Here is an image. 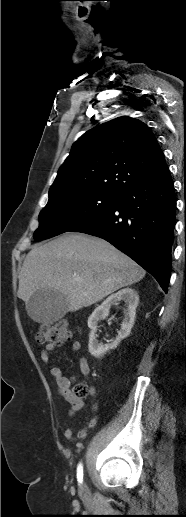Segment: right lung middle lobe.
Masks as SVG:
<instances>
[{
    "label": "right lung middle lobe",
    "instance_id": "right-lung-middle-lobe-1",
    "mask_svg": "<svg viewBox=\"0 0 186 517\" xmlns=\"http://www.w3.org/2000/svg\"><path fill=\"white\" fill-rule=\"evenodd\" d=\"M119 195L77 193L50 199L39 214L36 241L48 239L86 222L111 208Z\"/></svg>",
    "mask_w": 186,
    "mask_h": 517
}]
</instances>
